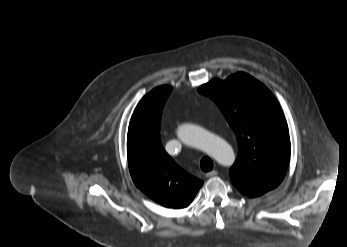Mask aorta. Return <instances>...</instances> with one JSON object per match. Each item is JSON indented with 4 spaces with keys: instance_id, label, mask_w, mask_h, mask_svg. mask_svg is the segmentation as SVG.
<instances>
[{
    "instance_id": "1",
    "label": "aorta",
    "mask_w": 347,
    "mask_h": 247,
    "mask_svg": "<svg viewBox=\"0 0 347 247\" xmlns=\"http://www.w3.org/2000/svg\"><path fill=\"white\" fill-rule=\"evenodd\" d=\"M178 138L186 145L198 148L224 166H230L235 161L232 147L221 137L210 133L200 126L185 123L178 127Z\"/></svg>"
}]
</instances>
